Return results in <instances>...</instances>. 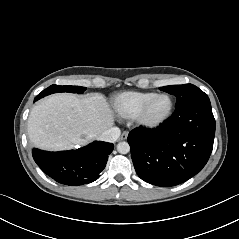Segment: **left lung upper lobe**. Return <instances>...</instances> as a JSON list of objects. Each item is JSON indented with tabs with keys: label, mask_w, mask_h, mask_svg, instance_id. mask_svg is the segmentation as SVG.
<instances>
[{
	"label": "left lung upper lobe",
	"mask_w": 239,
	"mask_h": 239,
	"mask_svg": "<svg viewBox=\"0 0 239 239\" xmlns=\"http://www.w3.org/2000/svg\"><path fill=\"white\" fill-rule=\"evenodd\" d=\"M160 90L176 96L177 102L175 108L180 107L197 98L207 96V94H205L198 87L192 84L165 86L161 87Z\"/></svg>",
	"instance_id": "5c2ea615"
}]
</instances>
